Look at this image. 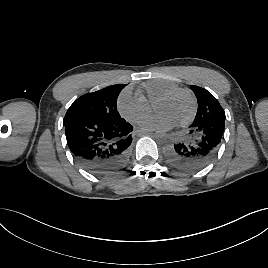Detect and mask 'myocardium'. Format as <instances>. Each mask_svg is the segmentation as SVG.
Instances as JSON below:
<instances>
[{
	"label": "myocardium",
	"mask_w": 268,
	"mask_h": 268,
	"mask_svg": "<svg viewBox=\"0 0 268 268\" xmlns=\"http://www.w3.org/2000/svg\"><path fill=\"white\" fill-rule=\"evenodd\" d=\"M179 94H185L191 102V111L189 115L184 120L176 124L179 127H185L193 121L197 113V100L189 89L178 87L168 91L154 103V111L158 104L166 102Z\"/></svg>",
	"instance_id": "f54148a6"
}]
</instances>
